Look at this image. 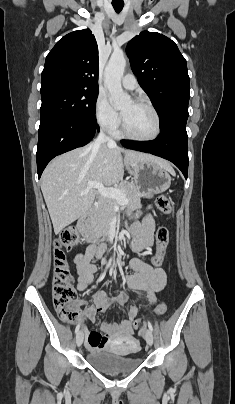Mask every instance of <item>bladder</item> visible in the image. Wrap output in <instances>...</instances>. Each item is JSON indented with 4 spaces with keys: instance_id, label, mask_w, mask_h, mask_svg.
<instances>
[{
    "instance_id": "bladder-1",
    "label": "bladder",
    "mask_w": 235,
    "mask_h": 404,
    "mask_svg": "<svg viewBox=\"0 0 235 404\" xmlns=\"http://www.w3.org/2000/svg\"><path fill=\"white\" fill-rule=\"evenodd\" d=\"M136 347L121 348L118 346L101 347L87 353L86 360L94 368L109 372H130L136 369L142 362L138 356H128L135 352ZM127 352L125 355L119 352Z\"/></svg>"
}]
</instances>
